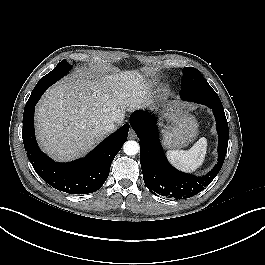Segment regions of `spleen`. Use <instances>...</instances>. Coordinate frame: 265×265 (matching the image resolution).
<instances>
[{"mask_svg":"<svg viewBox=\"0 0 265 265\" xmlns=\"http://www.w3.org/2000/svg\"><path fill=\"white\" fill-rule=\"evenodd\" d=\"M206 152L207 140L203 137L188 151L169 150L166 155L175 167L185 172H194L203 164Z\"/></svg>","mask_w":265,"mask_h":265,"instance_id":"1","label":"spleen"}]
</instances>
